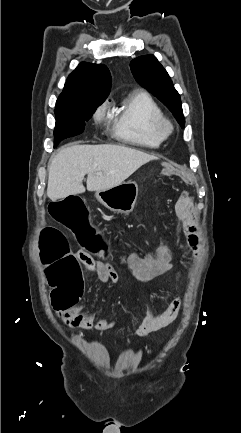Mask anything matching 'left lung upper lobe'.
Returning a JSON list of instances; mask_svg holds the SVG:
<instances>
[{
	"mask_svg": "<svg viewBox=\"0 0 241 433\" xmlns=\"http://www.w3.org/2000/svg\"><path fill=\"white\" fill-rule=\"evenodd\" d=\"M130 68L135 79L170 109L183 128L185 120L180 95L157 58L153 55L140 56L131 61Z\"/></svg>",
	"mask_w": 241,
	"mask_h": 433,
	"instance_id": "1",
	"label": "left lung upper lobe"
}]
</instances>
